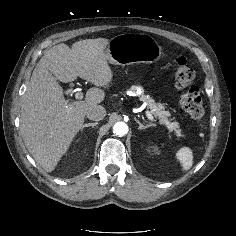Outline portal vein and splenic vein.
Segmentation results:
<instances>
[{
  "label": "portal vein and splenic vein",
  "mask_w": 236,
  "mask_h": 236,
  "mask_svg": "<svg viewBox=\"0 0 236 236\" xmlns=\"http://www.w3.org/2000/svg\"><path fill=\"white\" fill-rule=\"evenodd\" d=\"M70 92H71V90L69 89V90L67 91V93H70ZM75 97H76V99L81 100V99L83 98V93L80 92V91H77V92L75 93ZM146 116H147L148 119L151 120V121H154V120H155L154 117L152 116V114H151L149 111H146Z\"/></svg>",
  "instance_id": "18ae733b"
}]
</instances>
